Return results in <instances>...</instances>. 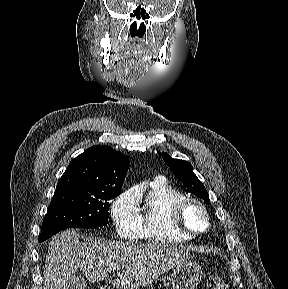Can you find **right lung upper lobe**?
<instances>
[{
	"label": "right lung upper lobe",
	"mask_w": 288,
	"mask_h": 289,
	"mask_svg": "<svg viewBox=\"0 0 288 289\" xmlns=\"http://www.w3.org/2000/svg\"><path fill=\"white\" fill-rule=\"evenodd\" d=\"M129 159L108 146H93L73 159L58 181L55 192L121 191Z\"/></svg>",
	"instance_id": "right-lung-upper-lobe-1"
}]
</instances>
